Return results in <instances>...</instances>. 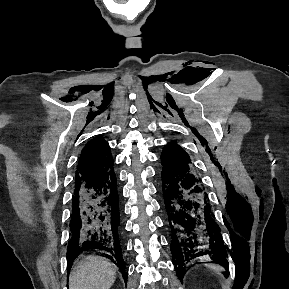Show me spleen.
Segmentation results:
<instances>
[{
  "mask_svg": "<svg viewBox=\"0 0 289 289\" xmlns=\"http://www.w3.org/2000/svg\"><path fill=\"white\" fill-rule=\"evenodd\" d=\"M208 268L212 271H214L215 273L221 275V271H222V268L219 266V265H216V264H208L207 265Z\"/></svg>",
  "mask_w": 289,
  "mask_h": 289,
  "instance_id": "1",
  "label": "spleen"
}]
</instances>
